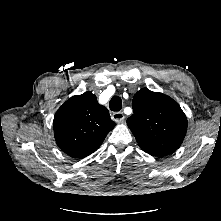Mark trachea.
<instances>
[{
  "mask_svg": "<svg viewBox=\"0 0 221 221\" xmlns=\"http://www.w3.org/2000/svg\"><path fill=\"white\" fill-rule=\"evenodd\" d=\"M110 109L114 112H118L122 108V100L119 96H113L109 102Z\"/></svg>",
  "mask_w": 221,
  "mask_h": 221,
  "instance_id": "3493384b",
  "label": "trachea"
}]
</instances>
